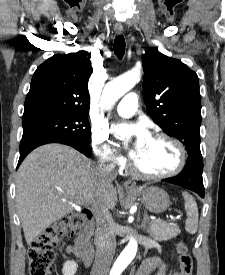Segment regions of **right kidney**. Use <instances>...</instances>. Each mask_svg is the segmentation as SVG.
Masks as SVG:
<instances>
[{
  "instance_id": "1",
  "label": "right kidney",
  "mask_w": 225,
  "mask_h": 275,
  "mask_svg": "<svg viewBox=\"0 0 225 275\" xmlns=\"http://www.w3.org/2000/svg\"><path fill=\"white\" fill-rule=\"evenodd\" d=\"M78 265L74 261H67L63 266V275H74L77 271Z\"/></svg>"
}]
</instances>
